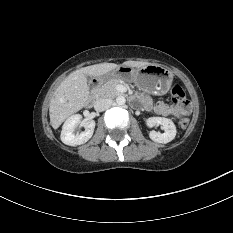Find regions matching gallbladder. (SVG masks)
Listing matches in <instances>:
<instances>
[{
	"instance_id": "obj_1",
	"label": "gallbladder",
	"mask_w": 233,
	"mask_h": 233,
	"mask_svg": "<svg viewBox=\"0 0 233 233\" xmlns=\"http://www.w3.org/2000/svg\"><path fill=\"white\" fill-rule=\"evenodd\" d=\"M86 78H87V81L90 82L91 76H86Z\"/></svg>"
}]
</instances>
